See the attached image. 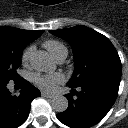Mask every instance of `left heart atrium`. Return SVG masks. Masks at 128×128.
<instances>
[{"instance_id":"obj_1","label":"left heart atrium","mask_w":128,"mask_h":128,"mask_svg":"<svg viewBox=\"0 0 128 128\" xmlns=\"http://www.w3.org/2000/svg\"><path fill=\"white\" fill-rule=\"evenodd\" d=\"M32 81L41 89L52 91L58 84L64 81V77L59 73L49 75L34 74L32 76Z\"/></svg>"}]
</instances>
